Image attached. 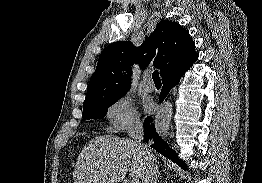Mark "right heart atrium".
I'll use <instances>...</instances> for the list:
<instances>
[{
  "label": "right heart atrium",
  "instance_id": "right-heart-atrium-1",
  "mask_svg": "<svg viewBox=\"0 0 262 183\" xmlns=\"http://www.w3.org/2000/svg\"><path fill=\"white\" fill-rule=\"evenodd\" d=\"M107 130L124 133L137 130L142 122L134 100L126 95L116 98L106 109Z\"/></svg>",
  "mask_w": 262,
  "mask_h": 183
}]
</instances>
